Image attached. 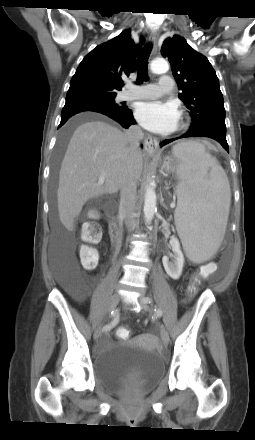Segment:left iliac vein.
<instances>
[{"label": "left iliac vein", "instance_id": "obj_1", "mask_svg": "<svg viewBox=\"0 0 255 440\" xmlns=\"http://www.w3.org/2000/svg\"><path fill=\"white\" fill-rule=\"evenodd\" d=\"M144 298H145L144 296H140L139 303L142 308H144L145 310H149V306L147 305V303L143 301ZM160 336L163 344L168 345L170 338L166 328L163 325L160 326Z\"/></svg>", "mask_w": 255, "mask_h": 440}]
</instances>
